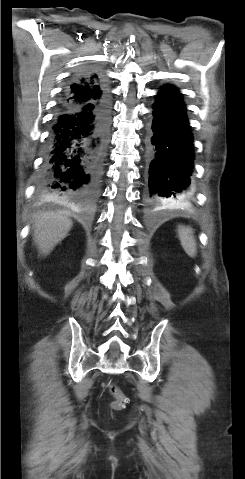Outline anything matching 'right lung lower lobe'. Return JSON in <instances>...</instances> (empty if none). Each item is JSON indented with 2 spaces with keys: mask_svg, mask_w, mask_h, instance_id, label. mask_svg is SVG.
Segmentation results:
<instances>
[{
  "mask_svg": "<svg viewBox=\"0 0 245 479\" xmlns=\"http://www.w3.org/2000/svg\"><path fill=\"white\" fill-rule=\"evenodd\" d=\"M88 73L80 72L73 83ZM109 126L108 94L84 105L59 104L37 182L42 199L70 203L81 209L93 206L98 197Z\"/></svg>",
  "mask_w": 245,
  "mask_h": 479,
  "instance_id": "1",
  "label": "right lung lower lobe"
}]
</instances>
